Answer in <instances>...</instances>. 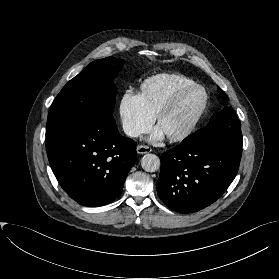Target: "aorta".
Listing matches in <instances>:
<instances>
[{"mask_svg": "<svg viewBox=\"0 0 279 279\" xmlns=\"http://www.w3.org/2000/svg\"><path fill=\"white\" fill-rule=\"evenodd\" d=\"M141 166L147 172H155L160 168V159L155 154H145L141 159Z\"/></svg>", "mask_w": 279, "mask_h": 279, "instance_id": "1", "label": "aorta"}]
</instances>
